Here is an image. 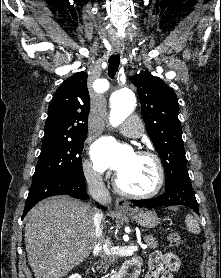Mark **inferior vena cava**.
Here are the masks:
<instances>
[{
	"label": "inferior vena cava",
	"mask_w": 221,
	"mask_h": 278,
	"mask_svg": "<svg viewBox=\"0 0 221 278\" xmlns=\"http://www.w3.org/2000/svg\"><path fill=\"white\" fill-rule=\"evenodd\" d=\"M86 182L88 186L89 194L99 203H107L111 201V197L109 191L106 189L105 184L103 182L101 174L89 170L86 173ZM103 214L100 212H96L94 215V226H95V237L97 245H103L104 252L101 254V263L105 267L110 266L115 261V256L112 252L107 249V246L104 245V238H103Z\"/></svg>",
	"instance_id": "602c4592"
}]
</instances>
